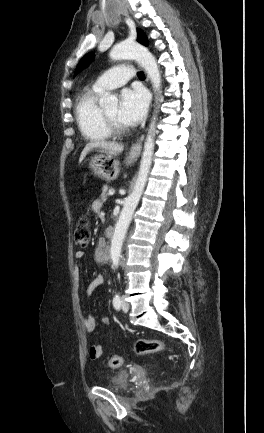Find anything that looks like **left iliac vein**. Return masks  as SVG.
<instances>
[{"label":"left iliac vein","mask_w":264,"mask_h":433,"mask_svg":"<svg viewBox=\"0 0 264 433\" xmlns=\"http://www.w3.org/2000/svg\"><path fill=\"white\" fill-rule=\"evenodd\" d=\"M121 308L124 312H127L129 310V303L126 301L125 296H122L121 299Z\"/></svg>","instance_id":"1"}]
</instances>
